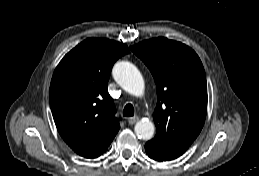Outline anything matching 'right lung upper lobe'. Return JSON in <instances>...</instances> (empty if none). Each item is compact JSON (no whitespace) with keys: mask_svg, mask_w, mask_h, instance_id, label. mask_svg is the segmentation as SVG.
<instances>
[{"mask_svg":"<svg viewBox=\"0 0 259 176\" xmlns=\"http://www.w3.org/2000/svg\"><path fill=\"white\" fill-rule=\"evenodd\" d=\"M129 53L123 43L88 38L56 67L49 100L57 130L80 156L104 153L120 125L107 83L115 61Z\"/></svg>","mask_w":259,"mask_h":176,"instance_id":"cb5924a9","label":"right lung upper lobe"}]
</instances>
